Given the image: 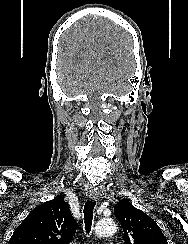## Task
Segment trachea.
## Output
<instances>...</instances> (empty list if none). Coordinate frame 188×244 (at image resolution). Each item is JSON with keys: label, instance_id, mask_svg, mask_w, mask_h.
I'll return each mask as SVG.
<instances>
[{"label": "trachea", "instance_id": "trachea-1", "mask_svg": "<svg viewBox=\"0 0 188 244\" xmlns=\"http://www.w3.org/2000/svg\"><path fill=\"white\" fill-rule=\"evenodd\" d=\"M95 205H96V201H90V200H88L84 205L83 213H84V221H85V230L87 234H89L91 231L93 210Z\"/></svg>", "mask_w": 188, "mask_h": 244}]
</instances>
